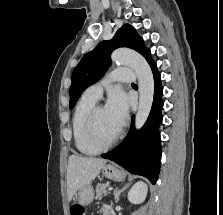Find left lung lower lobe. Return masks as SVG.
Returning <instances> with one entry per match:
<instances>
[{
  "label": "left lung lower lobe",
  "instance_id": "1",
  "mask_svg": "<svg viewBox=\"0 0 223 215\" xmlns=\"http://www.w3.org/2000/svg\"><path fill=\"white\" fill-rule=\"evenodd\" d=\"M154 77V99L149 117L140 131L134 128V116L131 128L125 139L112 151L101 157L112 160L133 174L142 175L155 184L161 164V145L159 125L162 122L161 110L162 85L161 75L156 63L151 66Z\"/></svg>",
  "mask_w": 223,
  "mask_h": 215
}]
</instances>
